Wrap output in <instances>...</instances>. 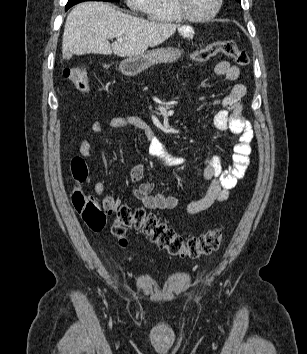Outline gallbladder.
<instances>
[{"label": "gallbladder", "instance_id": "1", "mask_svg": "<svg viewBox=\"0 0 307 354\" xmlns=\"http://www.w3.org/2000/svg\"><path fill=\"white\" fill-rule=\"evenodd\" d=\"M66 59H70L71 58V54H68L65 56Z\"/></svg>", "mask_w": 307, "mask_h": 354}]
</instances>
